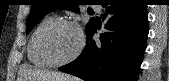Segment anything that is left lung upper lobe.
<instances>
[{"label":"left lung upper lobe","mask_w":169,"mask_h":81,"mask_svg":"<svg viewBox=\"0 0 169 81\" xmlns=\"http://www.w3.org/2000/svg\"><path fill=\"white\" fill-rule=\"evenodd\" d=\"M31 12L27 19L26 34H29L33 27L49 12L56 9H68L79 12V5L71 3L67 0H32ZM95 21L90 19L86 26V33L92 28Z\"/></svg>","instance_id":"5c2ea615"}]
</instances>
